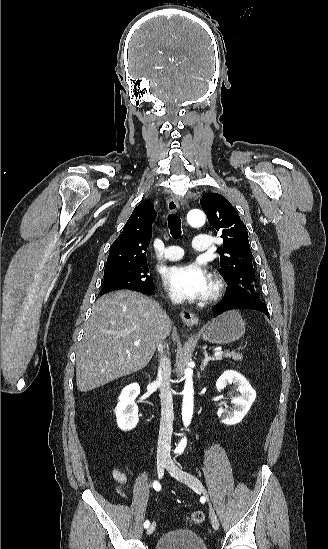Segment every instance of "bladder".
I'll use <instances>...</instances> for the list:
<instances>
[{"label":"bladder","mask_w":328,"mask_h":549,"mask_svg":"<svg viewBox=\"0 0 328 549\" xmlns=\"http://www.w3.org/2000/svg\"><path fill=\"white\" fill-rule=\"evenodd\" d=\"M154 549H207L205 542L198 534L189 530H172L166 532L157 542Z\"/></svg>","instance_id":"obj_1"}]
</instances>
